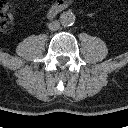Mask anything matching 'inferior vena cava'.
<instances>
[{"label": "inferior vena cava", "instance_id": "obj_1", "mask_svg": "<svg viewBox=\"0 0 128 128\" xmlns=\"http://www.w3.org/2000/svg\"><path fill=\"white\" fill-rule=\"evenodd\" d=\"M59 27H60V22L57 21V20H54V21H52V22H50V23L48 24V28H49V30H51V31H56V30L59 29Z\"/></svg>", "mask_w": 128, "mask_h": 128}]
</instances>
